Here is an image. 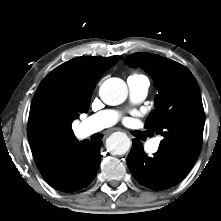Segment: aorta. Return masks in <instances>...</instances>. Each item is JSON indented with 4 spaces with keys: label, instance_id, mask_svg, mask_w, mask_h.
Returning a JSON list of instances; mask_svg holds the SVG:
<instances>
[{
    "label": "aorta",
    "instance_id": "762f6f07",
    "mask_svg": "<svg viewBox=\"0 0 221 221\" xmlns=\"http://www.w3.org/2000/svg\"><path fill=\"white\" fill-rule=\"evenodd\" d=\"M99 95L105 104L119 105L127 98V85L120 78H109L100 86ZM130 145V139L122 132L113 133L107 140V148L115 155L125 154Z\"/></svg>",
    "mask_w": 221,
    "mask_h": 221
}]
</instances>
